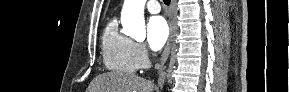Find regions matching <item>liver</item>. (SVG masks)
<instances>
[{
	"label": "liver",
	"instance_id": "1",
	"mask_svg": "<svg viewBox=\"0 0 289 92\" xmlns=\"http://www.w3.org/2000/svg\"><path fill=\"white\" fill-rule=\"evenodd\" d=\"M87 90V92H153L154 84L135 75L109 72L95 77Z\"/></svg>",
	"mask_w": 289,
	"mask_h": 92
}]
</instances>
